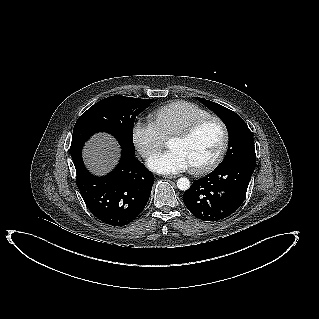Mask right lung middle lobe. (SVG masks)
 Returning <instances> with one entry per match:
<instances>
[{
	"mask_svg": "<svg viewBox=\"0 0 319 319\" xmlns=\"http://www.w3.org/2000/svg\"><path fill=\"white\" fill-rule=\"evenodd\" d=\"M153 101L117 95L97 102L78 118L71 150L82 147L94 133L104 131L116 137L122 151L134 155L132 133L135 118Z\"/></svg>",
	"mask_w": 319,
	"mask_h": 319,
	"instance_id": "1",
	"label": "right lung middle lobe"
}]
</instances>
